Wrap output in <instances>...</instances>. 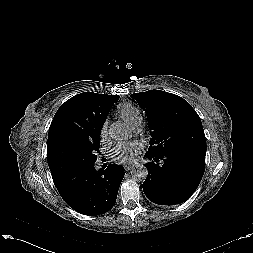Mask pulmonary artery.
Here are the masks:
<instances>
[{
  "label": "pulmonary artery",
  "mask_w": 253,
  "mask_h": 253,
  "mask_svg": "<svg viewBox=\"0 0 253 253\" xmlns=\"http://www.w3.org/2000/svg\"><path fill=\"white\" fill-rule=\"evenodd\" d=\"M138 126H139V125H136V126H133L132 128H133V129H137V128H138Z\"/></svg>",
  "instance_id": "e3ab8cb5"
}]
</instances>
